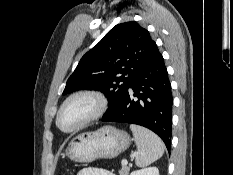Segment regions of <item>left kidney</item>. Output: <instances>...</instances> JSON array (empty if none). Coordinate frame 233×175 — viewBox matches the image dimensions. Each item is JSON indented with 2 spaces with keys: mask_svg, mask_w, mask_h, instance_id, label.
<instances>
[{
  "mask_svg": "<svg viewBox=\"0 0 233 175\" xmlns=\"http://www.w3.org/2000/svg\"><path fill=\"white\" fill-rule=\"evenodd\" d=\"M130 175H159L157 167H148L133 171Z\"/></svg>",
  "mask_w": 233,
  "mask_h": 175,
  "instance_id": "5707ae66",
  "label": "left kidney"
}]
</instances>
